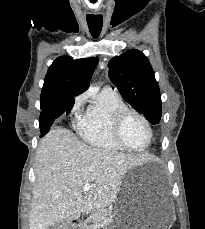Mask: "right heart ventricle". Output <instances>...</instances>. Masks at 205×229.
<instances>
[{
  "label": "right heart ventricle",
  "mask_w": 205,
  "mask_h": 229,
  "mask_svg": "<svg viewBox=\"0 0 205 229\" xmlns=\"http://www.w3.org/2000/svg\"><path fill=\"white\" fill-rule=\"evenodd\" d=\"M126 107V103L115 90L103 88L92 98L90 105L77 121L76 128L80 137L99 149L124 150L113 135V119L118 110Z\"/></svg>",
  "instance_id": "right-heart-ventricle-1"
}]
</instances>
